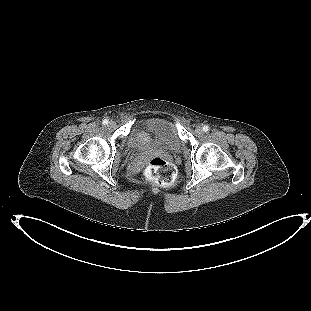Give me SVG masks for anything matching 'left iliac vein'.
<instances>
[{
	"instance_id": "4c4485c4",
	"label": "left iliac vein",
	"mask_w": 311,
	"mask_h": 311,
	"mask_svg": "<svg viewBox=\"0 0 311 311\" xmlns=\"http://www.w3.org/2000/svg\"><path fill=\"white\" fill-rule=\"evenodd\" d=\"M195 132H196L197 134H202V133H203V128H202L200 125H198V126H196V128H195Z\"/></svg>"
}]
</instances>
